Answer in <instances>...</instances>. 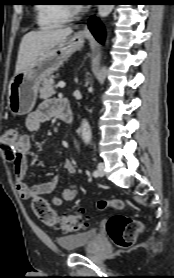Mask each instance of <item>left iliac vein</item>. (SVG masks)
Segmentation results:
<instances>
[{
	"mask_svg": "<svg viewBox=\"0 0 174 278\" xmlns=\"http://www.w3.org/2000/svg\"><path fill=\"white\" fill-rule=\"evenodd\" d=\"M104 168H105V165L103 162H100L97 166V169H98V176H103L104 175Z\"/></svg>",
	"mask_w": 174,
	"mask_h": 278,
	"instance_id": "left-iliac-vein-1",
	"label": "left iliac vein"
}]
</instances>
